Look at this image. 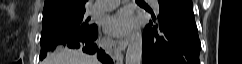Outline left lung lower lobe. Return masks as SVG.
I'll return each mask as SVG.
<instances>
[{"label":"left lung lower lobe","mask_w":242,"mask_h":64,"mask_svg":"<svg viewBox=\"0 0 242 64\" xmlns=\"http://www.w3.org/2000/svg\"><path fill=\"white\" fill-rule=\"evenodd\" d=\"M160 13L143 32V64H200L192 0H158Z\"/></svg>","instance_id":"0a47b994"}]
</instances>
